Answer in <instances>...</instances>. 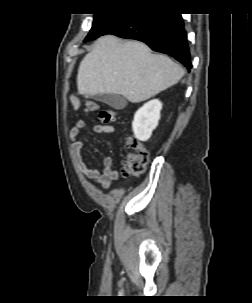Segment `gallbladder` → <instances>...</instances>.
I'll return each instance as SVG.
<instances>
[{
	"label": "gallbladder",
	"mask_w": 252,
	"mask_h": 303,
	"mask_svg": "<svg viewBox=\"0 0 252 303\" xmlns=\"http://www.w3.org/2000/svg\"><path fill=\"white\" fill-rule=\"evenodd\" d=\"M94 99L103 102L114 109L121 110L126 107V99L119 94H98Z\"/></svg>",
	"instance_id": "1"
}]
</instances>
